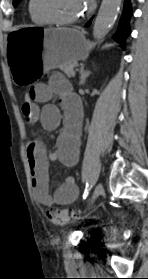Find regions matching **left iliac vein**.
Instances as JSON below:
<instances>
[{"mask_svg":"<svg viewBox=\"0 0 148 279\" xmlns=\"http://www.w3.org/2000/svg\"><path fill=\"white\" fill-rule=\"evenodd\" d=\"M103 193V185L101 183H98L95 190H94V193H93V196L89 202V205L88 207L91 206V204Z\"/></svg>","mask_w":148,"mask_h":279,"instance_id":"left-iliac-vein-1","label":"left iliac vein"}]
</instances>
